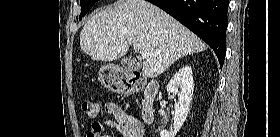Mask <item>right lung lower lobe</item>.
I'll list each match as a JSON object with an SVG mask.
<instances>
[{"instance_id": "right-lung-lower-lobe-1", "label": "right lung lower lobe", "mask_w": 280, "mask_h": 137, "mask_svg": "<svg viewBox=\"0 0 280 137\" xmlns=\"http://www.w3.org/2000/svg\"><path fill=\"white\" fill-rule=\"evenodd\" d=\"M198 35L215 52L220 66L225 59L228 23L227 0H147Z\"/></svg>"}]
</instances>
